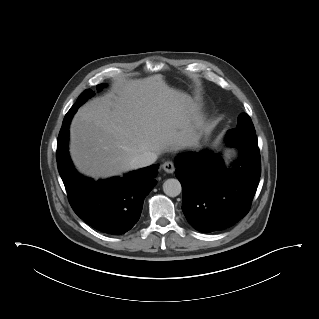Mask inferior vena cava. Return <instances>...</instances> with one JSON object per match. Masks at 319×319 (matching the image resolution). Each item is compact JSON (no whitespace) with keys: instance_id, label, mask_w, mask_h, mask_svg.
Instances as JSON below:
<instances>
[{"instance_id":"inferior-vena-cava-1","label":"inferior vena cava","mask_w":319,"mask_h":319,"mask_svg":"<svg viewBox=\"0 0 319 319\" xmlns=\"http://www.w3.org/2000/svg\"><path fill=\"white\" fill-rule=\"evenodd\" d=\"M157 159V155L154 153H145L133 158L129 166L131 169H139L153 164Z\"/></svg>"}]
</instances>
